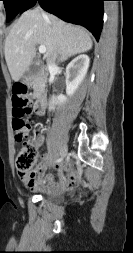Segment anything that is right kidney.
<instances>
[{"mask_svg":"<svg viewBox=\"0 0 133 253\" xmlns=\"http://www.w3.org/2000/svg\"><path fill=\"white\" fill-rule=\"evenodd\" d=\"M90 63V58L87 55H79L74 58L66 67L65 77H66V95L72 96L78 89L79 85L84 80L88 67ZM67 96L59 95L53 96L49 105L50 110L55 109V105H61L67 101Z\"/></svg>","mask_w":133,"mask_h":253,"instance_id":"1","label":"right kidney"}]
</instances>
